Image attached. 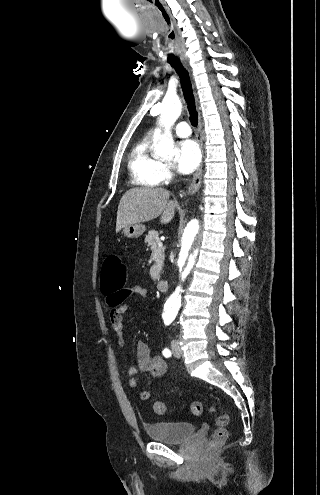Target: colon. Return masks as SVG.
Segmentation results:
<instances>
[{
    "instance_id": "1",
    "label": "colon",
    "mask_w": 320,
    "mask_h": 495,
    "mask_svg": "<svg viewBox=\"0 0 320 495\" xmlns=\"http://www.w3.org/2000/svg\"><path fill=\"white\" fill-rule=\"evenodd\" d=\"M127 277L126 267L117 255L108 256L102 265L101 269V288L105 294L114 291H121L124 287ZM125 295L121 294L118 297V301L124 300ZM149 398V392L143 390L142 398L146 400ZM155 413L163 415L166 413V405L164 402L157 401L153 404ZM204 410V404L201 401H194L189 405V412L193 416H199ZM207 410L211 413H216V428L210 442V450H214L222 445L228 436L227 426L229 424V416L223 412L220 408L214 405L207 407Z\"/></svg>"
}]
</instances>
